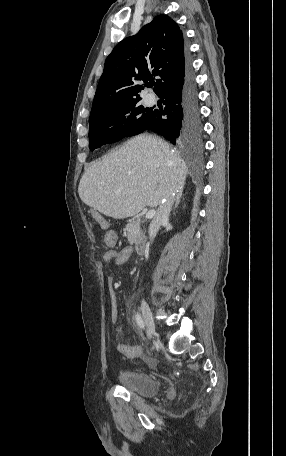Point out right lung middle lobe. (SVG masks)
Returning a JSON list of instances; mask_svg holds the SVG:
<instances>
[{
	"label": "right lung middle lobe",
	"instance_id": "right-lung-middle-lobe-1",
	"mask_svg": "<svg viewBox=\"0 0 286 456\" xmlns=\"http://www.w3.org/2000/svg\"><path fill=\"white\" fill-rule=\"evenodd\" d=\"M154 111L144 108L139 102L111 108L89 122V148L94 150L132 136L147 129ZM188 131H195L196 135L179 143L194 142L200 136V125L187 127Z\"/></svg>",
	"mask_w": 286,
	"mask_h": 456
}]
</instances>
